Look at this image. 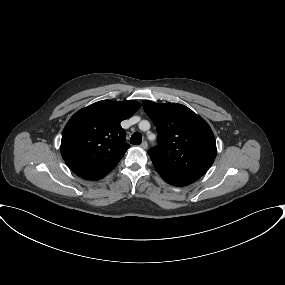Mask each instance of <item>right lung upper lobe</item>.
<instances>
[{
  "label": "right lung upper lobe",
  "mask_w": 285,
  "mask_h": 285,
  "mask_svg": "<svg viewBox=\"0 0 285 285\" xmlns=\"http://www.w3.org/2000/svg\"><path fill=\"white\" fill-rule=\"evenodd\" d=\"M140 106L133 100H102L76 112L62 134L60 149L67 166L84 179L105 177L130 147L120 122Z\"/></svg>",
  "instance_id": "right-lung-upper-lobe-1"
}]
</instances>
